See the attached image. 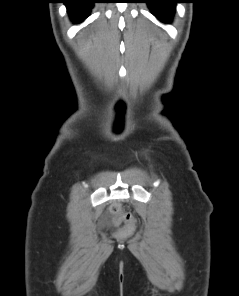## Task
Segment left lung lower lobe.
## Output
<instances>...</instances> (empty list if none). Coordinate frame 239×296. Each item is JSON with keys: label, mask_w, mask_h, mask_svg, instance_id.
Here are the masks:
<instances>
[{"label": "left lung lower lobe", "mask_w": 239, "mask_h": 296, "mask_svg": "<svg viewBox=\"0 0 239 296\" xmlns=\"http://www.w3.org/2000/svg\"><path fill=\"white\" fill-rule=\"evenodd\" d=\"M145 3L159 20L170 22L175 11V4L180 3V0H145Z\"/></svg>", "instance_id": "left-lung-lower-lobe-1"}]
</instances>
